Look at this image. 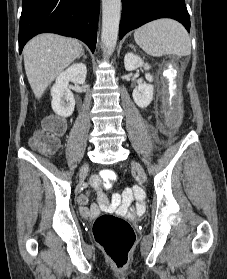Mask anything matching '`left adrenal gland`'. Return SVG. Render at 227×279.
I'll use <instances>...</instances> for the list:
<instances>
[{
    "label": "left adrenal gland",
    "instance_id": "a2214340",
    "mask_svg": "<svg viewBox=\"0 0 227 279\" xmlns=\"http://www.w3.org/2000/svg\"><path fill=\"white\" fill-rule=\"evenodd\" d=\"M130 47H132V48H134V46L133 45H129Z\"/></svg>",
    "mask_w": 227,
    "mask_h": 279
}]
</instances>
